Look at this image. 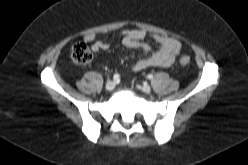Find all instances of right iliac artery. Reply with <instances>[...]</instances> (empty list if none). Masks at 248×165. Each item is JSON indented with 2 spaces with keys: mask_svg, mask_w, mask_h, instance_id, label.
<instances>
[{
  "mask_svg": "<svg viewBox=\"0 0 248 165\" xmlns=\"http://www.w3.org/2000/svg\"><path fill=\"white\" fill-rule=\"evenodd\" d=\"M119 79H120L119 74H115V75L113 76V80H114V81H118Z\"/></svg>",
  "mask_w": 248,
  "mask_h": 165,
  "instance_id": "right-iliac-artery-1",
  "label": "right iliac artery"
}]
</instances>
